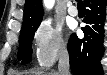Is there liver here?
Listing matches in <instances>:
<instances>
[{
  "instance_id": "6515ba94",
  "label": "liver",
  "mask_w": 107,
  "mask_h": 75,
  "mask_svg": "<svg viewBox=\"0 0 107 75\" xmlns=\"http://www.w3.org/2000/svg\"><path fill=\"white\" fill-rule=\"evenodd\" d=\"M19 75H58V73L56 72H51V73H47V74H40V73H25V74H19Z\"/></svg>"
}]
</instances>
